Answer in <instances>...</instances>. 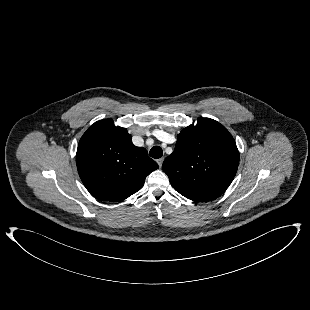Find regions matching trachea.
<instances>
[{
	"instance_id": "trachea-1",
	"label": "trachea",
	"mask_w": 310,
	"mask_h": 310,
	"mask_svg": "<svg viewBox=\"0 0 310 310\" xmlns=\"http://www.w3.org/2000/svg\"><path fill=\"white\" fill-rule=\"evenodd\" d=\"M149 155L154 159H159L163 155L162 148L160 146H154L151 148Z\"/></svg>"
}]
</instances>
